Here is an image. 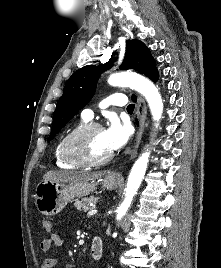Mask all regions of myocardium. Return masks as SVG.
<instances>
[{"instance_id":"1","label":"myocardium","mask_w":221,"mask_h":268,"mask_svg":"<svg viewBox=\"0 0 221 268\" xmlns=\"http://www.w3.org/2000/svg\"><path fill=\"white\" fill-rule=\"evenodd\" d=\"M98 129L103 130V127L98 123H86L71 132L61 147L63 158L78 166H99L109 162L113 157L112 152L102 158H94L89 156L83 147L84 139Z\"/></svg>"}]
</instances>
